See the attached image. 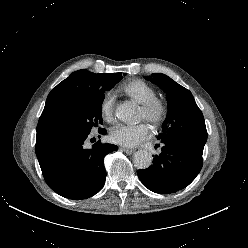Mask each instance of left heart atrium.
Listing matches in <instances>:
<instances>
[{
	"label": "left heart atrium",
	"instance_id": "left-heart-atrium-1",
	"mask_svg": "<svg viewBox=\"0 0 248 248\" xmlns=\"http://www.w3.org/2000/svg\"><path fill=\"white\" fill-rule=\"evenodd\" d=\"M150 135V128L145 122L133 125L120 124L111 131V139L120 145L134 147L146 140Z\"/></svg>",
	"mask_w": 248,
	"mask_h": 248
}]
</instances>
